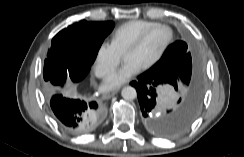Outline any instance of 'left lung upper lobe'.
<instances>
[{
    "mask_svg": "<svg viewBox=\"0 0 244 157\" xmlns=\"http://www.w3.org/2000/svg\"><path fill=\"white\" fill-rule=\"evenodd\" d=\"M147 71L163 76L175 90H178V85L188 86L187 95L200 87L202 82L188 46L183 41H176L168 46L160 60Z\"/></svg>",
    "mask_w": 244,
    "mask_h": 157,
    "instance_id": "left-lung-upper-lobe-1",
    "label": "left lung upper lobe"
}]
</instances>
